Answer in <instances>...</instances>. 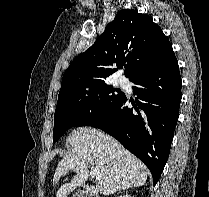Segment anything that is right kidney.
I'll return each instance as SVG.
<instances>
[{
    "label": "right kidney",
    "instance_id": "ca27d5eb",
    "mask_svg": "<svg viewBox=\"0 0 209 197\" xmlns=\"http://www.w3.org/2000/svg\"><path fill=\"white\" fill-rule=\"evenodd\" d=\"M119 197H132V196L126 194V195H121V196H119Z\"/></svg>",
    "mask_w": 209,
    "mask_h": 197
}]
</instances>
